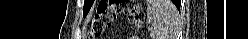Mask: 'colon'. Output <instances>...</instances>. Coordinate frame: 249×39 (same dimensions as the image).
I'll list each match as a JSON object with an SVG mask.
<instances>
[{
  "instance_id": "obj_1",
  "label": "colon",
  "mask_w": 249,
  "mask_h": 39,
  "mask_svg": "<svg viewBox=\"0 0 249 39\" xmlns=\"http://www.w3.org/2000/svg\"><path fill=\"white\" fill-rule=\"evenodd\" d=\"M120 14H127L131 25L138 28L142 19V9L135 0H107L100 1L96 12L91 18L90 38H99Z\"/></svg>"
}]
</instances>
